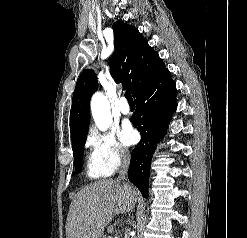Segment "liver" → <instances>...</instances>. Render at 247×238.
<instances>
[{
	"label": "liver",
	"instance_id": "1",
	"mask_svg": "<svg viewBox=\"0 0 247 238\" xmlns=\"http://www.w3.org/2000/svg\"><path fill=\"white\" fill-rule=\"evenodd\" d=\"M137 191L117 180H100L81 189L71 202L66 238H101L116 214L134 208Z\"/></svg>",
	"mask_w": 247,
	"mask_h": 238
}]
</instances>
